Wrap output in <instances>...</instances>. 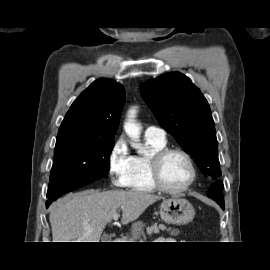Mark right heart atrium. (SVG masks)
Returning a JSON list of instances; mask_svg holds the SVG:
<instances>
[{"label": "right heart atrium", "instance_id": "d8ad5b80", "mask_svg": "<svg viewBox=\"0 0 270 270\" xmlns=\"http://www.w3.org/2000/svg\"><path fill=\"white\" fill-rule=\"evenodd\" d=\"M132 155L124 138L117 139L112 145L108 158V174L114 186H129L132 172Z\"/></svg>", "mask_w": 270, "mask_h": 270}]
</instances>
